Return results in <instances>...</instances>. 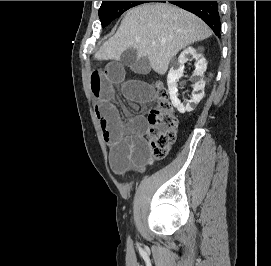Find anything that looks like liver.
<instances>
[{
    "label": "liver",
    "instance_id": "1",
    "mask_svg": "<svg viewBox=\"0 0 271 266\" xmlns=\"http://www.w3.org/2000/svg\"><path fill=\"white\" fill-rule=\"evenodd\" d=\"M211 34L200 18L186 10L167 3L143 4L126 13L116 34L103 44L95 59L118 61L123 52L134 49L163 75L181 49Z\"/></svg>",
    "mask_w": 271,
    "mask_h": 266
}]
</instances>
